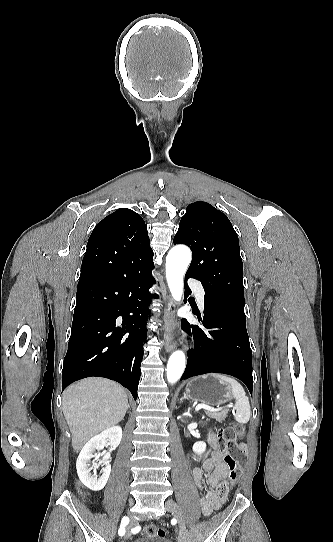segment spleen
I'll return each mask as SVG.
<instances>
[{
	"label": "spleen",
	"instance_id": "spleen-1",
	"mask_svg": "<svg viewBox=\"0 0 333 542\" xmlns=\"http://www.w3.org/2000/svg\"><path fill=\"white\" fill-rule=\"evenodd\" d=\"M216 380H219L220 384H225V386H228L234 400H235V410L236 414L234 416L236 422L238 424H247L250 420L251 416V408L249 404V400L246 396V392H244V388H242L241 384L239 382H236L234 378H229V376H223V374H212Z\"/></svg>",
	"mask_w": 333,
	"mask_h": 542
}]
</instances>
